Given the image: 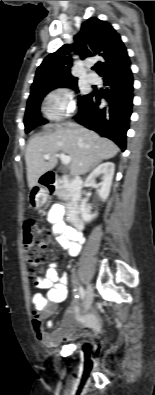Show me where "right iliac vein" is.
<instances>
[{"instance_id":"1","label":"right iliac vein","mask_w":155,"mask_h":395,"mask_svg":"<svg viewBox=\"0 0 155 395\" xmlns=\"http://www.w3.org/2000/svg\"><path fill=\"white\" fill-rule=\"evenodd\" d=\"M93 297H94L93 289L90 285H88L86 289L84 311H87L91 307L93 302Z\"/></svg>"}]
</instances>
